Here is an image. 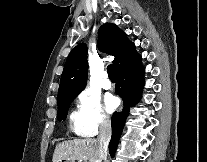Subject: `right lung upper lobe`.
Here are the masks:
<instances>
[{
	"instance_id": "right-lung-upper-lobe-1",
	"label": "right lung upper lobe",
	"mask_w": 207,
	"mask_h": 162,
	"mask_svg": "<svg viewBox=\"0 0 207 162\" xmlns=\"http://www.w3.org/2000/svg\"><path fill=\"white\" fill-rule=\"evenodd\" d=\"M98 47L102 52L114 56L115 71L138 57L135 46L126 34L116 25L106 23L98 31ZM87 47L84 43L77 45L69 54L62 73L58 99L77 96L87 81Z\"/></svg>"
}]
</instances>
